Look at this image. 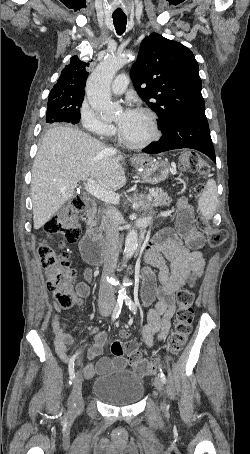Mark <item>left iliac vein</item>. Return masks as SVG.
I'll use <instances>...</instances> for the list:
<instances>
[{"label": "left iliac vein", "mask_w": 250, "mask_h": 454, "mask_svg": "<svg viewBox=\"0 0 250 454\" xmlns=\"http://www.w3.org/2000/svg\"><path fill=\"white\" fill-rule=\"evenodd\" d=\"M154 385L156 387V389L159 391V392H163V382L161 380V378L159 376H156L155 379H154ZM162 408L163 409H166V405L165 403L162 404Z\"/></svg>", "instance_id": "left-iliac-vein-1"}]
</instances>
